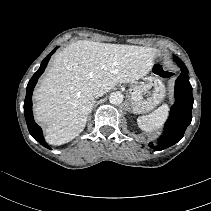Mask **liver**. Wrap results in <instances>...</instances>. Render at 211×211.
Returning a JSON list of instances; mask_svg holds the SVG:
<instances>
[{"label":"liver","mask_w":211,"mask_h":211,"mask_svg":"<svg viewBox=\"0 0 211 211\" xmlns=\"http://www.w3.org/2000/svg\"><path fill=\"white\" fill-rule=\"evenodd\" d=\"M157 50L150 47L80 40L55 55L34 91L35 119L45 126V139L62 145L85 128L94 105L93 91L143 78Z\"/></svg>","instance_id":"liver-1"}]
</instances>
